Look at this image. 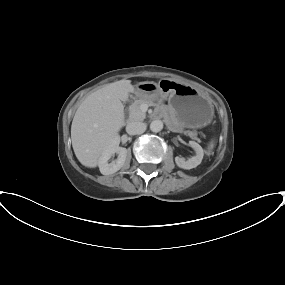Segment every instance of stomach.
<instances>
[{"instance_id":"1","label":"stomach","mask_w":285,"mask_h":285,"mask_svg":"<svg viewBox=\"0 0 285 285\" xmlns=\"http://www.w3.org/2000/svg\"><path fill=\"white\" fill-rule=\"evenodd\" d=\"M136 96L149 100L168 99L176 118L188 128L203 127L213 118V106L206 97L194 88L170 79L139 83Z\"/></svg>"}]
</instances>
